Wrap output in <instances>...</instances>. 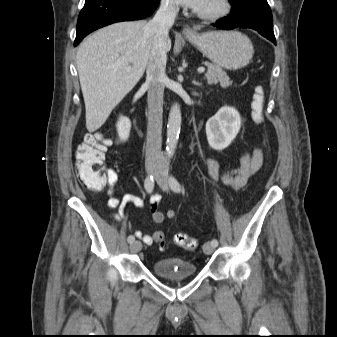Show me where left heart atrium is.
I'll list each match as a JSON object with an SVG mask.
<instances>
[{
    "label": "left heart atrium",
    "mask_w": 337,
    "mask_h": 337,
    "mask_svg": "<svg viewBox=\"0 0 337 337\" xmlns=\"http://www.w3.org/2000/svg\"><path fill=\"white\" fill-rule=\"evenodd\" d=\"M178 4L190 7L195 10H200L207 0H175Z\"/></svg>",
    "instance_id": "obj_1"
}]
</instances>
